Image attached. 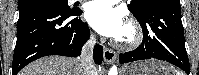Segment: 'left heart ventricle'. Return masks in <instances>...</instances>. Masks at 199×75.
Segmentation results:
<instances>
[{
	"mask_svg": "<svg viewBox=\"0 0 199 75\" xmlns=\"http://www.w3.org/2000/svg\"><path fill=\"white\" fill-rule=\"evenodd\" d=\"M128 35H129V32H128L127 28H126L120 38H127Z\"/></svg>",
	"mask_w": 199,
	"mask_h": 75,
	"instance_id": "1",
	"label": "left heart ventricle"
}]
</instances>
